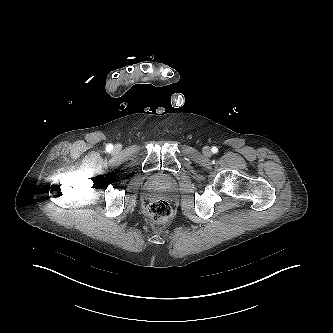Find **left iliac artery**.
Listing matches in <instances>:
<instances>
[{"label":"left iliac artery","instance_id":"left-iliac-artery-1","mask_svg":"<svg viewBox=\"0 0 333 333\" xmlns=\"http://www.w3.org/2000/svg\"><path fill=\"white\" fill-rule=\"evenodd\" d=\"M211 151L213 153H217L218 152V148L216 146H213L212 149H211Z\"/></svg>","mask_w":333,"mask_h":333}]
</instances>
